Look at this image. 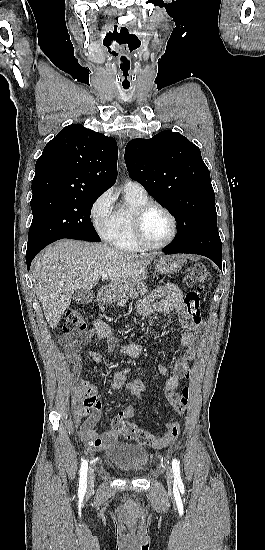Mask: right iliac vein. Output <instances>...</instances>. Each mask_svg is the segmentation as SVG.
I'll use <instances>...</instances> for the list:
<instances>
[{"label": "right iliac vein", "instance_id": "right-iliac-vein-1", "mask_svg": "<svg viewBox=\"0 0 265 550\" xmlns=\"http://www.w3.org/2000/svg\"><path fill=\"white\" fill-rule=\"evenodd\" d=\"M87 481H88V486L90 488H92L93 484H94V471H93V469H89L88 475H87Z\"/></svg>", "mask_w": 265, "mask_h": 550}]
</instances>
